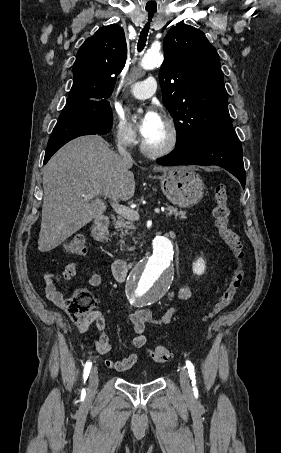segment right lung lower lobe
Listing matches in <instances>:
<instances>
[{
    "label": "right lung lower lobe",
    "instance_id": "right-lung-lower-lobe-1",
    "mask_svg": "<svg viewBox=\"0 0 281 453\" xmlns=\"http://www.w3.org/2000/svg\"><path fill=\"white\" fill-rule=\"evenodd\" d=\"M112 126L110 103L65 105L50 136L44 164L68 141L90 134H105Z\"/></svg>",
    "mask_w": 281,
    "mask_h": 453
}]
</instances>
